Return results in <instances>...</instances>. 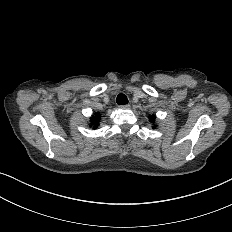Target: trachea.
Wrapping results in <instances>:
<instances>
[{
	"mask_svg": "<svg viewBox=\"0 0 232 232\" xmlns=\"http://www.w3.org/2000/svg\"><path fill=\"white\" fill-rule=\"evenodd\" d=\"M117 104H120V105H125L128 103V98L126 95H124L123 93H120L118 96H117Z\"/></svg>",
	"mask_w": 232,
	"mask_h": 232,
	"instance_id": "1",
	"label": "trachea"
}]
</instances>
